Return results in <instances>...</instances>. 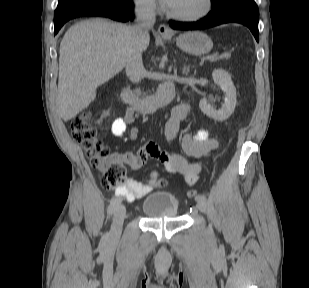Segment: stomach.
<instances>
[{
    "label": "stomach",
    "instance_id": "1",
    "mask_svg": "<svg viewBox=\"0 0 309 288\" xmlns=\"http://www.w3.org/2000/svg\"><path fill=\"white\" fill-rule=\"evenodd\" d=\"M163 38L170 40L171 36H163ZM176 44L182 51L194 55L208 53L213 46L211 39L200 31H191L179 35L176 38Z\"/></svg>",
    "mask_w": 309,
    "mask_h": 288
}]
</instances>
